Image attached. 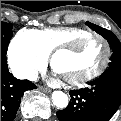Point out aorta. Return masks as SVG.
<instances>
[{
    "mask_svg": "<svg viewBox=\"0 0 121 121\" xmlns=\"http://www.w3.org/2000/svg\"><path fill=\"white\" fill-rule=\"evenodd\" d=\"M52 102L57 108H65L68 105V97L62 91H54L52 93Z\"/></svg>",
    "mask_w": 121,
    "mask_h": 121,
    "instance_id": "1",
    "label": "aorta"
}]
</instances>
